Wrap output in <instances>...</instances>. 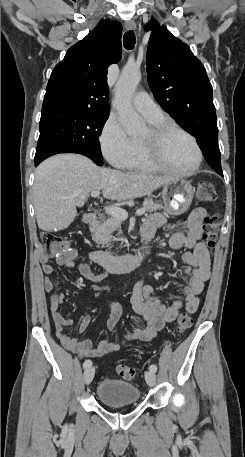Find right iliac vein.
Segmentation results:
<instances>
[{"mask_svg":"<svg viewBox=\"0 0 245 457\" xmlns=\"http://www.w3.org/2000/svg\"><path fill=\"white\" fill-rule=\"evenodd\" d=\"M94 374H95V367H93V366H91L85 370L84 381L87 385L92 382Z\"/></svg>","mask_w":245,"mask_h":457,"instance_id":"obj_1","label":"right iliac vein"}]
</instances>
